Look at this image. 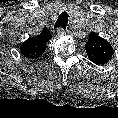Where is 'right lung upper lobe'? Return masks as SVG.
I'll return each instance as SVG.
<instances>
[{"label": "right lung upper lobe", "mask_w": 118, "mask_h": 118, "mask_svg": "<svg viewBox=\"0 0 118 118\" xmlns=\"http://www.w3.org/2000/svg\"><path fill=\"white\" fill-rule=\"evenodd\" d=\"M52 37L47 28H43L40 35L29 38L20 46L21 53L29 58H37L46 50V43Z\"/></svg>", "instance_id": "1"}]
</instances>
